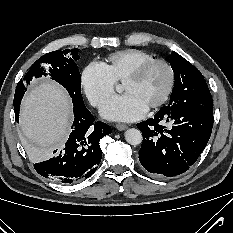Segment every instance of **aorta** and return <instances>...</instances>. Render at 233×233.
<instances>
[{
  "mask_svg": "<svg viewBox=\"0 0 233 233\" xmlns=\"http://www.w3.org/2000/svg\"><path fill=\"white\" fill-rule=\"evenodd\" d=\"M125 140L130 145H139L142 142V133L140 130L135 128H130L125 131Z\"/></svg>",
  "mask_w": 233,
  "mask_h": 233,
  "instance_id": "762f6f07",
  "label": "aorta"
}]
</instances>
